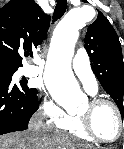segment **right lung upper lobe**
<instances>
[{
  "label": "right lung upper lobe",
  "mask_w": 124,
  "mask_h": 149,
  "mask_svg": "<svg viewBox=\"0 0 124 149\" xmlns=\"http://www.w3.org/2000/svg\"><path fill=\"white\" fill-rule=\"evenodd\" d=\"M50 16L35 0H11L0 8V68L22 66L20 54L32 55L49 28Z\"/></svg>",
  "instance_id": "right-lung-upper-lobe-1"
}]
</instances>
